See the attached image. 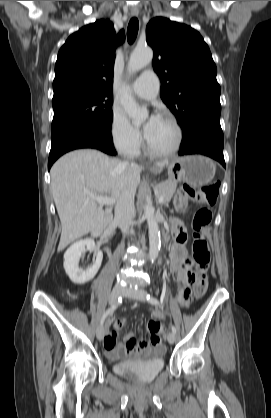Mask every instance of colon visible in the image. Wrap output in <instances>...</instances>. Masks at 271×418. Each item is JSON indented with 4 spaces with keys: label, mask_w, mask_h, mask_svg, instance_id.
Listing matches in <instances>:
<instances>
[{
    "label": "colon",
    "mask_w": 271,
    "mask_h": 418,
    "mask_svg": "<svg viewBox=\"0 0 271 418\" xmlns=\"http://www.w3.org/2000/svg\"><path fill=\"white\" fill-rule=\"evenodd\" d=\"M220 184L212 182L199 189H193L189 186L181 187L175 195V207L179 211H185L192 201H198L203 204L194 214L192 227L193 246L192 260L190 261L195 267V282L193 287L194 297L200 298L206 291L208 285L207 273L210 266L211 255L208 242L202 235V231L208 227L212 219L210 207L213 206L218 198ZM149 331L153 334L151 341L160 342L161 339L157 333L161 327L160 324L151 320L148 324Z\"/></svg>",
    "instance_id": "5ec220e1"
}]
</instances>
